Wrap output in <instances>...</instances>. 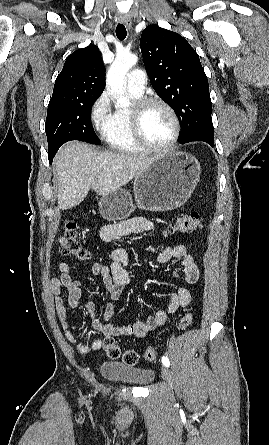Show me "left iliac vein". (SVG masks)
I'll list each match as a JSON object with an SVG mask.
<instances>
[{"instance_id":"obj_1","label":"left iliac vein","mask_w":269,"mask_h":445,"mask_svg":"<svg viewBox=\"0 0 269 445\" xmlns=\"http://www.w3.org/2000/svg\"><path fill=\"white\" fill-rule=\"evenodd\" d=\"M161 376L168 384H170L171 375L169 369L166 366L162 367Z\"/></svg>"}]
</instances>
